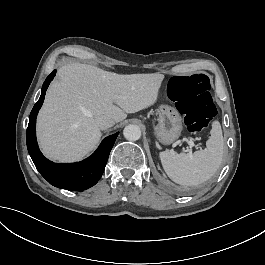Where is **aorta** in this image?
<instances>
[{
    "label": "aorta",
    "mask_w": 265,
    "mask_h": 265,
    "mask_svg": "<svg viewBox=\"0 0 265 265\" xmlns=\"http://www.w3.org/2000/svg\"><path fill=\"white\" fill-rule=\"evenodd\" d=\"M124 137L129 141H136L141 137V130L137 125H127L123 130Z\"/></svg>",
    "instance_id": "762f6f07"
}]
</instances>
